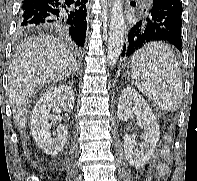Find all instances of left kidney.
Listing matches in <instances>:
<instances>
[{
    "mask_svg": "<svg viewBox=\"0 0 197 181\" xmlns=\"http://www.w3.org/2000/svg\"><path fill=\"white\" fill-rule=\"evenodd\" d=\"M134 114L137 116V124L143 126L145 132L140 138V150L134 148V139L126 134L124 136V152L128 162L136 167H143L155 152L159 141V124L148 103L132 87L125 88L119 98L117 115L121 121H127Z\"/></svg>",
    "mask_w": 197,
    "mask_h": 181,
    "instance_id": "left-kidney-1",
    "label": "left kidney"
}]
</instances>
